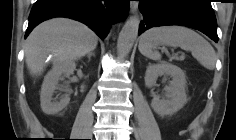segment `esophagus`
<instances>
[{"instance_id": "obj_1", "label": "esophagus", "mask_w": 236, "mask_h": 140, "mask_svg": "<svg viewBox=\"0 0 236 140\" xmlns=\"http://www.w3.org/2000/svg\"><path fill=\"white\" fill-rule=\"evenodd\" d=\"M138 10V3L136 1H130V12L136 13Z\"/></svg>"}]
</instances>
